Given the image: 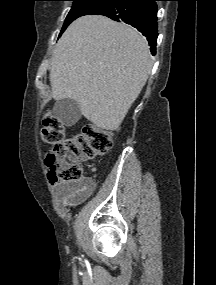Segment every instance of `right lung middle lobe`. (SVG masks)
<instances>
[{
	"label": "right lung middle lobe",
	"mask_w": 216,
	"mask_h": 285,
	"mask_svg": "<svg viewBox=\"0 0 216 285\" xmlns=\"http://www.w3.org/2000/svg\"><path fill=\"white\" fill-rule=\"evenodd\" d=\"M71 1H73V6L65 19L60 35L64 32V30L68 27V25L78 17L95 14L98 11L104 9L105 7L112 5L116 0H71Z\"/></svg>",
	"instance_id": "dd1d6c3e"
}]
</instances>
